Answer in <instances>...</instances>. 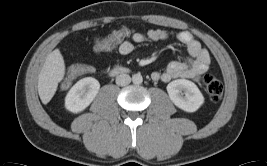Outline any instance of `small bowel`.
Instances as JSON below:
<instances>
[{
	"instance_id": "c3829d8e",
	"label": "small bowel",
	"mask_w": 267,
	"mask_h": 166,
	"mask_svg": "<svg viewBox=\"0 0 267 166\" xmlns=\"http://www.w3.org/2000/svg\"><path fill=\"white\" fill-rule=\"evenodd\" d=\"M171 38L170 34L161 29H151L147 32H133L130 38L118 44V52L123 55H129L133 52L135 45L145 41L156 42L166 41ZM176 40L186 46L189 58L185 61H173L169 63L165 71H154L151 78L154 81H162L168 83L173 79H191L198 81L203 73H205L210 64V55L208 51L203 48L193 35L188 31L179 32L176 35ZM71 71L76 75L83 74L79 70V66H74ZM92 72V68L88 67L85 72Z\"/></svg>"
}]
</instances>
